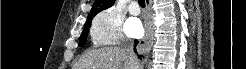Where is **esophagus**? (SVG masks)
<instances>
[{"label": "esophagus", "instance_id": "esophagus-1", "mask_svg": "<svg viewBox=\"0 0 246 69\" xmlns=\"http://www.w3.org/2000/svg\"><path fill=\"white\" fill-rule=\"evenodd\" d=\"M152 45H153V30L151 28L150 22H148L145 28V35L140 40L137 49L142 54H148L151 50Z\"/></svg>", "mask_w": 246, "mask_h": 69}]
</instances>
